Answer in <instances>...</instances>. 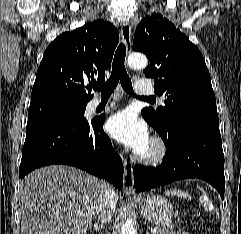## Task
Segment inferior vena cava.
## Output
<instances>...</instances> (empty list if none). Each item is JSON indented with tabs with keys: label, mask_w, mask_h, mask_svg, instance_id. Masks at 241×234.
<instances>
[{
	"label": "inferior vena cava",
	"mask_w": 241,
	"mask_h": 234,
	"mask_svg": "<svg viewBox=\"0 0 241 234\" xmlns=\"http://www.w3.org/2000/svg\"><path fill=\"white\" fill-rule=\"evenodd\" d=\"M101 203L98 207L97 215L98 220L102 225L111 220V217L116 208V193L113 187L107 183L102 182L100 187Z\"/></svg>",
	"instance_id": "1"
}]
</instances>
